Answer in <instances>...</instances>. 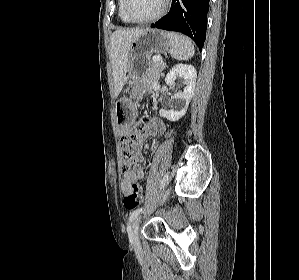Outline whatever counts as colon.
Returning <instances> with one entry per match:
<instances>
[{
    "label": "colon",
    "mask_w": 299,
    "mask_h": 280,
    "mask_svg": "<svg viewBox=\"0 0 299 280\" xmlns=\"http://www.w3.org/2000/svg\"><path fill=\"white\" fill-rule=\"evenodd\" d=\"M149 123V118H141L137 125H132L129 135L124 136L121 139V156L123 160V169L128 170L133 166V158L135 154V147L138 141L137 136H142V133H146V126ZM142 192L140 188L133 184L131 192L124 197V206L128 210H134L142 202Z\"/></svg>",
    "instance_id": "1"
}]
</instances>
